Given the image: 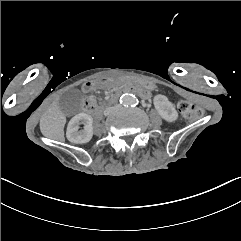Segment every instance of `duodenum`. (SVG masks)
Masks as SVG:
<instances>
[{"label":"duodenum","mask_w":241,"mask_h":241,"mask_svg":"<svg viewBox=\"0 0 241 241\" xmlns=\"http://www.w3.org/2000/svg\"><path fill=\"white\" fill-rule=\"evenodd\" d=\"M96 86L95 83H91L86 87V92H89ZM125 93H132L139 95L140 97L146 98L149 92L145 89L139 88L137 86L128 85L119 90L114 91L107 99L108 104L114 103L119 97ZM86 109L96 118L100 117L102 114V107L96 106L92 100L88 99L85 104Z\"/></svg>","instance_id":"1"}]
</instances>
